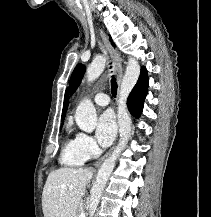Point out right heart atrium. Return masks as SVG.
I'll return each instance as SVG.
<instances>
[{
	"instance_id": "obj_1",
	"label": "right heart atrium",
	"mask_w": 211,
	"mask_h": 217,
	"mask_svg": "<svg viewBox=\"0 0 211 217\" xmlns=\"http://www.w3.org/2000/svg\"><path fill=\"white\" fill-rule=\"evenodd\" d=\"M75 138L79 150L87 159L94 158L99 154V147L90 135L78 133Z\"/></svg>"
}]
</instances>
